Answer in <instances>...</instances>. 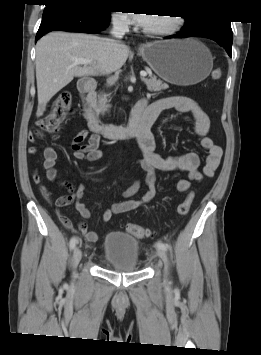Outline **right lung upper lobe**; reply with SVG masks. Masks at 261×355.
I'll return each mask as SVG.
<instances>
[{"label":"right lung upper lobe","instance_id":"cb5924a9","mask_svg":"<svg viewBox=\"0 0 261 355\" xmlns=\"http://www.w3.org/2000/svg\"><path fill=\"white\" fill-rule=\"evenodd\" d=\"M46 3H52V2H61V1H70V0H45ZM71 1H83V0H71Z\"/></svg>","mask_w":261,"mask_h":355}]
</instances>
